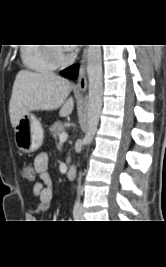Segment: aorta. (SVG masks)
Listing matches in <instances>:
<instances>
[{
    "instance_id": "aorta-1",
    "label": "aorta",
    "mask_w": 166,
    "mask_h": 267,
    "mask_svg": "<svg viewBox=\"0 0 166 267\" xmlns=\"http://www.w3.org/2000/svg\"><path fill=\"white\" fill-rule=\"evenodd\" d=\"M87 73L89 78L88 126L85 142L90 145L97 131L102 109V56L100 45H89L87 50Z\"/></svg>"
}]
</instances>
